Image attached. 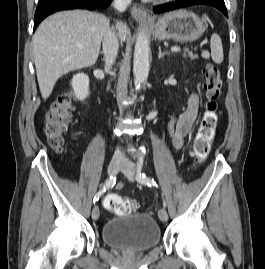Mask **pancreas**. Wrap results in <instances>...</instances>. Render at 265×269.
I'll list each match as a JSON object with an SVG mask.
<instances>
[{
	"label": "pancreas",
	"mask_w": 265,
	"mask_h": 269,
	"mask_svg": "<svg viewBox=\"0 0 265 269\" xmlns=\"http://www.w3.org/2000/svg\"><path fill=\"white\" fill-rule=\"evenodd\" d=\"M183 57L184 58H190L191 60H195V59L198 58V55L193 54L188 49H185L184 52H183Z\"/></svg>",
	"instance_id": "cf45deb5"
}]
</instances>
